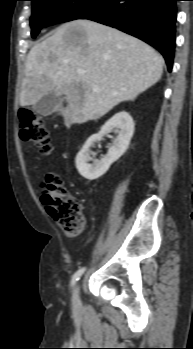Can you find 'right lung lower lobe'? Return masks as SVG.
Listing matches in <instances>:
<instances>
[{
    "label": "right lung lower lobe",
    "instance_id": "98d812e1",
    "mask_svg": "<svg viewBox=\"0 0 193 349\" xmlns=\"http://www.w3.org/2000/svg\"><path fill=\"white\" fill-rule=\"evenodd\" d=\"M176 1L100 0L79 19L117 28L158 49L171 71L175 47Z\"/></svg>",
    "mask_w": 193,
    "mask_h": 349
}]
</instances>
